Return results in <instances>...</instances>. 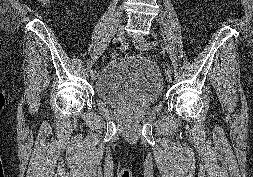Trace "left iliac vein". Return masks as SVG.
I'll use <instances>...</instances> for the list:
<instances>
[{
  "label": "left iliac vein",
  "instance_id": "left-iliac-vein-1",
  "mask_svg": "<svg viewBox=\"0 0 253 177\" xmlns=\"http://www.w3.org/2000/svg\"><path fill=\"white\" fill-rule=\"evenodd\" d=\"M132 41L135 45V47L139 50H145L143 47H142V44L143 43H146L145 42V39L142 37V36H135L132 38ZM165 76H166V80L168 82H171L172 81V73L171 72H167L165 73Z\"/></svg>",
  "mask_w": 253,
  "mask_h": 177
}]
</instances>
